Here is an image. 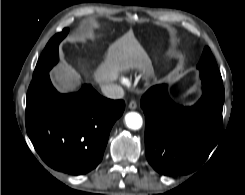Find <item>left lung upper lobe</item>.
<instances>
[{
    "label": "left lung upper lobe",
    "mask_w": 245,
    "mask_h": 195,
    "mask_svg": "<svg viewBox=\"0 0 245 195\" xmlns=\"http://www.w3.org/2000/svg\"><path fill=\"white\" fill-rule=\"evenodd\" d=\"M197 68L200 70L202 81H211L222 85L221 74L209 47L204 49Z\"/></svg>",
    "instance_id": "obj_1"
}]
</instances>
